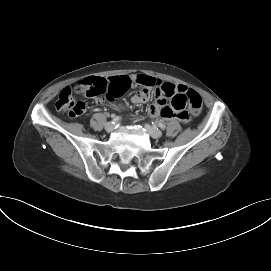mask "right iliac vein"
I'll list each match as a JSON object with an SVG mask.
<instances>
[{"instance_id": "63e3f726", "label": "right iliac vein", "mask_w": 271, "mask_h": 271, "mask_svg": "<svg viewBox=\"0 0 271 271\" xmlns=\"http://www.w3.org/2000/svg\"><path fill=\"white\" fill-rule=\"evenodd\" d=\"M114 127H115V124H114V123L108 122V123H106V125H105V130H106L107 132H112V131L114 130Z\"/></svg>"}]
</instances>
